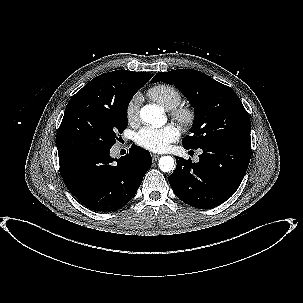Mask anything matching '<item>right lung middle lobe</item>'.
Returning <instances> with one entry per match:
<instances>
[{"label":"right lung middle lobe","mask_w":303,"mask_h":303,"mask_svg":"<svg viewBox=\"0 0 303 303\" xmlns=\"http://www.w3.org/2000/svg\"><path fill=\"white\" fill-rule=\"evenodd\" d=\"M142 86L129 89L123 101L114 105L72 97L56 136L58 154L110 149L127 127L129 101Z\"/></svg>","instance_id":"1"}]
</instances>
